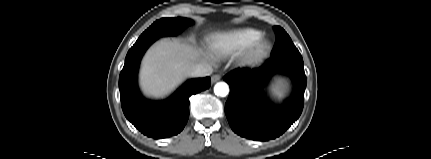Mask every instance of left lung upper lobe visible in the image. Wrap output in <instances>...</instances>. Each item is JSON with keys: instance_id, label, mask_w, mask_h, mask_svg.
I'll use <instances>...</instances> for the list:
<instances>
[{"instance_id": "5c2ea615", "label": "left lung upper lobe", "mask_w": 431, "mask_h": 159, "mask_svg": "<svg viewBox=\"0 0 431 159\" xmlns=\"http://www.w3.org/2000/svg\"><path fill=\"white\" fill-rule=\"evenodd\" d=\"M275 33L277 37V43L272 51V58H297L302 59L301 54L293 44L289 35L279 26H275Z\"/></svg>"}]
</instances>
